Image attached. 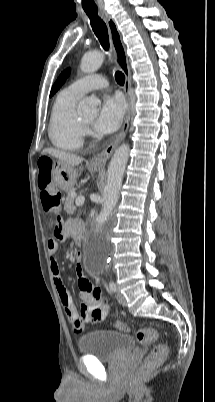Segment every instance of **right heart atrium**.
<instances>
[{
  "label": "right heart atrium",
  "instance_id": "1",
  "mask_svg": "<svg viewBox=\"0 0 215 402\" xmlns=\"http://www.w3.org/2000/svg\"><path fill=\"white\" fill-rule=\"evenodd\" d=\"M86 133H89V131H88V130H86Z\"/></svg>",
  "mask_w": 215,
  "mask_h": 402
}]
</instances>
